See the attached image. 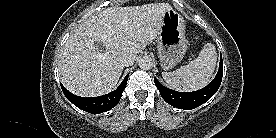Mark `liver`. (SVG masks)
<instances>
[{
  "label": "liver",
  "instance_id": "liver-1",
  "mask_svg": "<svg viewBox=\"0 0 276 138\" xmlns=\"http://www.w3.org/2000/svg\"><path fill=\"white\" fill-rule=\"evenodd\" d=\"M168 3L110 7L86 19L68 37L59 59L62 84L95 97L112 91L122 74L124 54L137 55L159 35ZM102 43L103 52L95 46Z\"/></svg>",
  "mask_w": 276,
  "mask_h": 138
}]
</instances>
